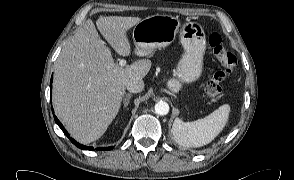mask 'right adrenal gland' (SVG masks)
Here are the masks:
<instances>
[{
  "mask_svg": "<svg viewBox=\"0 0 294 180\" xmlns=\"http://www.w3.org/2000/svg\"><path fill=\"white\" fill-rule=\"evenodd\" d=\"M131 94H126V96H125V98H124V100H123V104H124V107L126 108L127 106H128V104H129V102H130V99H131Z\"/></svg>",
  "mask_w": 294,
  "mask_h": 180,
  "instance_id": "1",
  "label": "right adrenal gland"
}]
</instances>
